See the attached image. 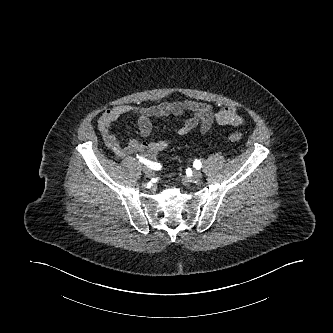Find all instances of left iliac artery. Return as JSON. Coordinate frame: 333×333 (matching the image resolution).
<instances>
[{"label": "left iliac artery", "instance_id": "1", "mask_svg": "<svg viewBox=\"0 0 333 333\" xmlns=\"http://www.w3.org/2000/svg\"><path fill=\"white\" fill-rule=\"evenodd\" d=\"M193 166H194L196 169L199 170V169L202 167V165H201V161L198 160V159H196V160L194 161V163H193Z\"/></svg>", "mask_w": 333, "mask_h": 333}]
</instances>
